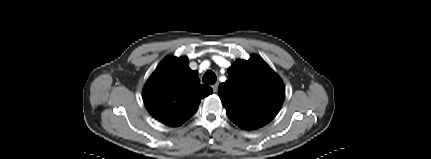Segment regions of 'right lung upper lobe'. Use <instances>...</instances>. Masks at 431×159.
Returning a JSON list of instances; mask_svg holds the SVG:
<instances>
[{
  "instance_id": "cb5924a9",
  "label": "right lung upper lobe",
  "mask_w": 431,
  "mask_h": 159,
  "mask_svg": "<svg viewBox=\"0 0 431 159\" xmlns=\"http://www.w3.org/2000/svg\"><path fill=\"white\" fill-rule=\"evenodd\" d=\"M211 87L200 84L196 71L188 66L187 57H168L158 66L143 89V100L149 113L168 126H178L198 109Z\"/></svg>"
}]
</instances>
